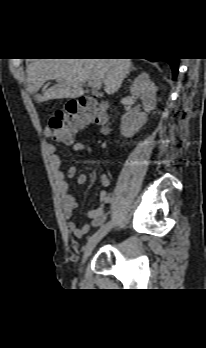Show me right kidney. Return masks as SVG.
Returning <instances> with one entry per match:
<instances>
[{
	"instance_id": "ca27d5eb",
	"label": "right kidney",
	"mask_w": 206,
	"mask_h": 348,
	"mask_svg": "<svg viewBox=\"0 0 206 348\" xmlns=\"http://www.w3.org/2000/svg\"><path fill=\"white\" fill-rule=\"evenodd\" d=\"M156 91L157 88L149 79L147 73H141L135 78L130 87V92L140 97L144 112L128 111L123 115L121 120V134L124 137H133L147 122V113L154 110L157 104Z\"/></svg>"
}]
</instances>
